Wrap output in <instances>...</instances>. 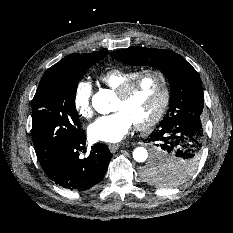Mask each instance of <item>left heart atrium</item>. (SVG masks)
I'll list each match as a JSON object with an SVG mask.
<instances>
[{"label": "left heart atrium", "mask_w": 233, "mask_h": 233, "mask_svg": "<svg viewBox=\"0 0 233 233\" xmlns=\"http://www.w3.org/2000/svg\"><path fill=\"white\" fill-rule=\"evenodd\" d=\"M134 125L131 117L123 110L97 118L88 128L89 136L95 141L118 142Z\"/></svg>", "instance_id": "1"}]
</instances>
